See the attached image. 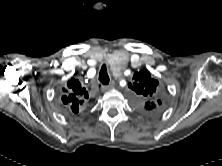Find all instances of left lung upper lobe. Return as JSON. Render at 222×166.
<instances>
[{
    "label": "left lung upper lobe",
    "mask_w": 222,
    "mask_h": 166,
    "mask_svg": "<svg viewBox=\"0 0 222 166\" xmlns=\"http://www.w3.org/2000/svg\"><path fill=\"white\" fill-rule=\"evenodd\" d=\"M134 82L129 83V88L134 90L140 99L145 101V108L152 110L155 108V102L152 101V96L156 92L159 82L151 77L148 71L136 72L133 76ZM161 104V101H157Z\"/></svg>",
    "instance_id": "1"
}]
</instances>
